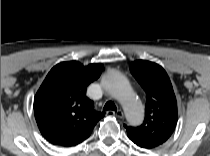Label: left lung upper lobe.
I'll list each match as a JSON object with an SVG mask.
<instances>
[{
  "label": "left lung upper lobe",
  "mask_w": 210,
  "mask_h": 156,
  "mask_svg": "<svg viewBox=\"0 0 210 156\" xmlns=\"http://www.w3.org/2000/svg\"><path fill=\"white\" fill-rule=\"evenodd\" d=\"M130 71L146 92L145 119L141 126L126 127L128 137L138 146L154 148L163 144L177 123V103L165 70L149 61H135Z\"/></svg>",
  "instance_id": "5c2ea615"
}]
</instances>
